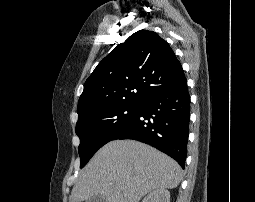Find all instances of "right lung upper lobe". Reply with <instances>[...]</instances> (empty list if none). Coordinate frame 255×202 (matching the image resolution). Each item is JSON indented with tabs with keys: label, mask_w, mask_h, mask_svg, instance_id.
I'll use <instances>...</instances> for the list:
<instances>
[{
	"label": "right lung upper lobe",
	"mask_w": 255,
	"mask_h": 202,
	"mask_svg": "<svg viewBox=\"0 0 255 202\" xmlns=\"http://www.w3.org/2000/svg\"><path fill=\"white\" fill-rule=\"evenodd\" d=\"M186 81L172 48L158 34L139 30L119 44L84 84L77 106L79 118L118 104H141Z\"/></svg>",
	"instance_id": "cb5924a9"
}]
</instances>
